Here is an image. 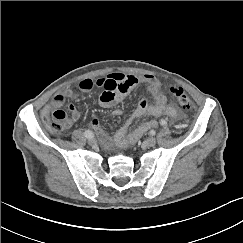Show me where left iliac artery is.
Returning <instances> with one entry per match:
<instances>
[{"label": "left iliac artery", "instance_id": "1", "mask_svg": "<svg viewBox=\"0 0 243 243\" xmlns=\"http://www.w3.org/2000/svg\"><path fill=\"white\" fill-rule=\"evenodd\" d=\"M160 125L161 126H166L167 125V121L166 120H164V119H162L161 121H160Z\"/></svg>", "mask_w": 243, "mask_h": 243}]
</instances>
